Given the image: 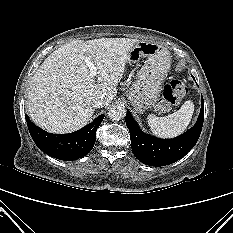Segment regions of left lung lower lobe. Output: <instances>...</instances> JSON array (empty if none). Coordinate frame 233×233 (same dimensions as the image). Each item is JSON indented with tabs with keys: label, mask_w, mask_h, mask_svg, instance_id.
Masks as SVG:
<instances>
[{
	"label": "left lung lower lobe",
	"mask_w": 233,
	"mask_h": 233,
	"mask_svg": "<svg viewBox=\"0 0 233 233\" xmlns=\"http://www.w3.org/2000/svg\"><path fill=\"white\" fill-rule=\"evenodd\" d=\"M125 121L135 157L150 166L169 165L184 157L197 143L204 121V101L202 98L200 114L195 125L176 138L159 139L143 133L129 111Z\"/></svg>",
	"instance_id": "obj_1"
}]
</instances>
